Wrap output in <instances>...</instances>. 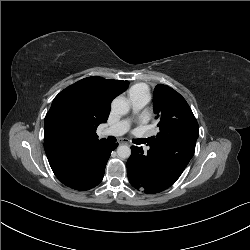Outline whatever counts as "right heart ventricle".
<instances>
[{"instance_id":"e07e8e85","label":"right heart ventricle","mask_w":250,"mask_h":250,"mask_svg":"<svg viewBox=\"0 0 250 250\" xmlns=\"http://www.w3.org/2000/svg\"><path fill=\"white\" fill-rule=\"evenodd\" d=\"M143 96L149 100V88L144 83H137L133 85L129 90V97Z\"/></svg>"}]
</instances>
